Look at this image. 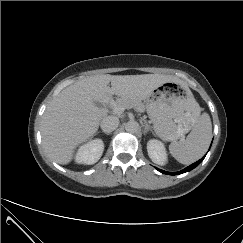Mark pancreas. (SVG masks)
<instances>
[{
    "instance_id": "cf45deb5",
    "label": "pancreas",
    "mask_w": 243,
    "mask_h": 243,
    "mask_svg": "<svg viewBox=\"0 0 243 243\" xmlns=\"http://www.w3.org/2000/svg\"><path fill=\"white\" fill-rule=\"evenodd\" d=\"M118 105H121L125 108H134L138 111H142L144 109V106L142 103L133 101V100H128V99L120 98V99H117L116 101L110 103V107L112 108V110H114V107L118 106Z\"/></svg>"
}]
</instances>
